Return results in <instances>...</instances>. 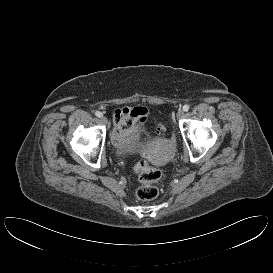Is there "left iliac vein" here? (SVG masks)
I'll return each mask as SVG.
<instances>
[{
    "label": "left iliac vein",
    "mask_w": 273,
    "mask_h": 273,
    "mask_svg": "<svg viewBox=\"0 0 273 273\" xmlns=\"http://www.w3.org/2000/svg\"><path fill=\"white\" fill-rule=\"evenodd\" d=\"M176 116H177V119H181L184 116V111L182 109H179L177 111Z\"/></svg>",
    "instance_id": "left-iliac-vein-1"
}]
</instances>
